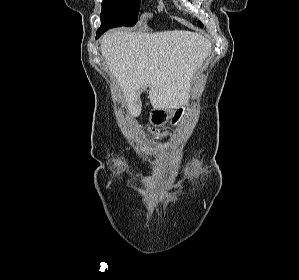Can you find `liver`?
<instances>
[{"instance_id": "6515ba94", "label": "liver", "mask_w": 299, "mask_h": 280, "mask_svg": "<svg viewBox=\"0 0 299 280\" xmlns=\"http://www.w3.org/2000/svg\"><path fill=\"white\" fill-rule=\"evenodd\" d=\"M211 42L189 31L107 32L100 51L120 85L127 111L141 114L140 93L149 87L155 109L170 111L187 104L196 70L211 53Z\"/></svg>"}]
</instances>
